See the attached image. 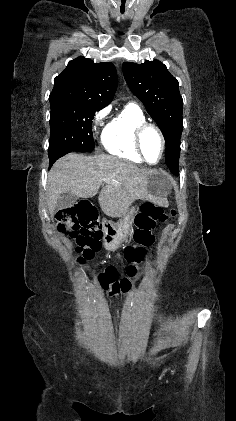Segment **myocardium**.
Segmentation results:
<instances>
[{"label":"myocardium","mask_w":236,"mask_h":421,"mask_svg":"<svg viewBox=\"0 0 236 421\" xmlns=\"http://www.w3.org/2000/svg\"><path fill=\"white\" fill-rule=\"evenodd\" d=\"M148 129L154 130L158 134V136L160 137V140H161V143H162V155H161L160 160L155 164H152V163L149 162V160L147 159L146 154L144 152L143 145H142L143 135ZM134 142H135V147H136L137 152L139 153V155L141 156L142 160L145 163H147L149 165H156L163 160L165 152H166V138H165V135L162 132V130L158 126H156L155 124L145 122V123H142L141 125H139L137 127V129L135 130Z\"/></svg>","instance_id":"1"}]
</instances>
